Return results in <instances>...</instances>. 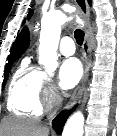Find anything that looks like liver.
I'll return each mask as SVG.
<instances>
[{
    "mask_svg": "<svg viewBox=\"0 0 117 136\" xmlns=\"http://www.w3.org/2000/svg\"><path fill=\"white\" fill-rule=\"evenodd\" d=\"M4 136H48L49 129L31 120L7 118L2 122Z\"/></svg>",
    "mask_w": 117,
    "mask_h": 136,
    "instance_id": "6515ba94",
    "label": "liver"
}]
</instances>
